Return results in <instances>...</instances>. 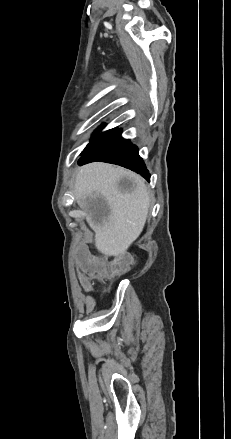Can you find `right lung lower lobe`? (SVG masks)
Wrapping results in <instances>:
<instances>
[{
  "label": "right lung lower lobe",
  "instance_id": "1",
  "mask_svg": "<svg viewBox=\"0 0 231 439\" xmlns=\"http://www.w3.org/2000/svg\"><path fill=\"white\" fill-rule=\"evenodd\" d=\"M121 132V129H117L98 145L84 153L78 164L83 165L94 161L113 163L135 171L149 181L150 174L138 154V148L129 140L122 138Z\"/></svg>",
  "mask_w": 231,
  "mask_h": 439
}]
</instances>
